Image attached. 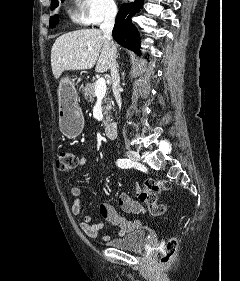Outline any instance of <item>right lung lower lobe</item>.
Wrapping results in <instances>:
<instances>
[{
  "instance_id": "obj_1",
  "label": "right lung lower lobe",
  "mask_w": 240,
  "mask_h": 281,
  "mask_svg": "<svg viewBox=\"0 0 240 281\" xmlns=\"http://www.w3.org/2000/svg\"><path fill=\"white\" fill-rule=\"evenodd\" d=\"M144 0H135L123 4L117 14L115 26L112 31L113 38L123 47L128 48L137 54L140 53L139 33L132 24L131 18L140 11Z\"/></svg>"
}]
</instances>
